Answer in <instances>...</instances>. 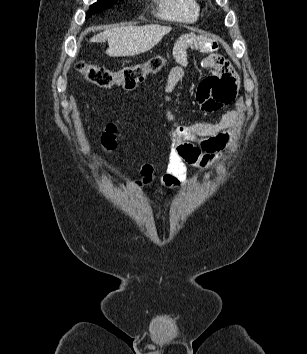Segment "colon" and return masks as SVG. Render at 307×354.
Here are the masks:
<instances>
[{"label":"colon","instance_id":"obj_1","mask_svg":"<svg viewBox=\"0 0 307 354\" xmlns=\"http://www.w3.org/2000/svg\"><path fill=\"white\" fill-rule=\"evenodd\" d=\"M167 62V57L154 55L144 62L125 65L119 69H110L85 61L78 62L76 68L89 83L97 87L120 86L126 90H131L147 76L159 73Z\"/></svg>","mask_w":307,"mask_h":354}]
</instances>
